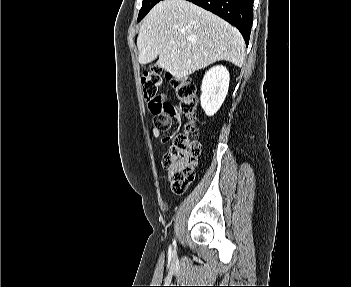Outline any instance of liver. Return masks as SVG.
Listing matches in <instances>:
<instances>
[{
	"mask_svg": "<svg viewBox=\"0 0 351 287\" xmlns=\"http://www.w3.org/2000/svg\"><path fill=\"white\" fill-rule=\"evenodd\" d=\"M138 60L156 65L177 80L224 60L241 67V33L213 13L186 0H164L144 18L137 37Z\"/></svg>",
	"mask_w": 351,
	"mask_h": 287,
	"instance_id": "liver-1",
	"label": "liver"
}]
</instances>
